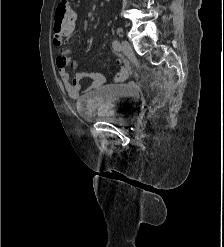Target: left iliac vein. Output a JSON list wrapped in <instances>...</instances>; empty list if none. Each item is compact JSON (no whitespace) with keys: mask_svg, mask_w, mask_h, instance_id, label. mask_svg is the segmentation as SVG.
<instances>
[{"mask_svg":"<svg viewBox=\"0 0 224 247\" xmlns=\"http://www.w3.org/2000/svg\"><path fill=\"white\" fill-rule=\"evenodd\" d=\"M120 50L126 55V56H132L133 55V49L131 44L126 41L122 40L121 45H120Z\"/></svg>","mask_w":224,"mask_h":247,"instance_id":"4c4485c4","label":"left iliac vein"}]
</instances>
